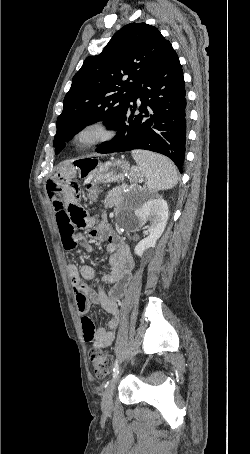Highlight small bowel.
Listing matches in <instances>:
<instances>
[{
    "instance_id": "c3829d8e",
    "label": "small bowel",
    "mask_w": 250,
    "mask_h": 454,
    "mask_svg": "<svg viewBox=\"0 0 250 454\" xmlns=\"http://www.w3.org/2000/svg\"><path fill=\"white\" fill-rule=\"evenodd\" d=\"M80 189L78 181L66 174H56L47 182V192L64 247L72 250L80 244L83 250L90 252L91 242L78 234L77 229L92 228L96 223V217L89 215L79 204ZM86 236L107 241L106 251L110 255L111 272L97 281L94 288H90L85 281L96 280L92 267L70 264L68 271L81 316L84 340L91 342L95 348H106L115 338V331L119 324V302L129 285L133 261L128 247L115 235L105 219L92 228ZM106 284L110 285L108 290L104 287ZM91 304L100 305L110 315L106 328H95L88 316Z\"/></svg>"
}]
</instances>
